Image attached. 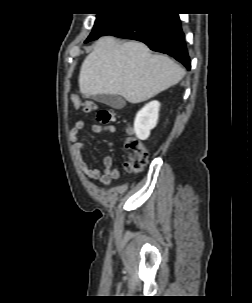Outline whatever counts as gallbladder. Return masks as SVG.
I'll return each mask as SVG.
<instances>
[{
  "label": "gallbladder",
  "instance_id": "gallbladder-1",
  "mask_svg": "<svg viewBox=\"0 0 252 303\" xmlns=\"http://www.w3.org/2000/svg\"><path fill=\"white\" fill-rule=\"evenodd\" d=\"M93 99L114 109H122L126 105L124 98L120 95L99 94L93 96Z\"/></svg>",
  "mask_w": 252,
  "mask_h": 303
}]
</instances>
